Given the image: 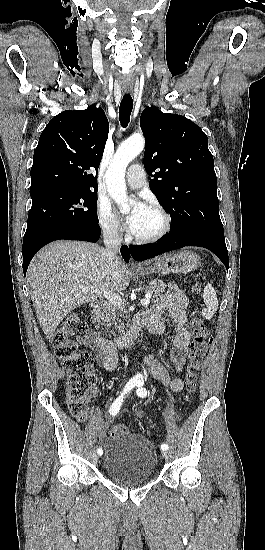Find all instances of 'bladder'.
<instances>
[{
  "label": "bladder",
  "instance_id": "31cf9c89",
  "mask_svg": "<svg viewBox=\"0 0 265 550\" xmlns=\"http://www.w3.org/2000/svg\"><path fill=\"white\" fill-rule=\"evenodd\" d=\"M102 457L105 474L113 481L128 485L148 481L157 465L155 448L139 434L110 438Z\"/></svg>",
  "mask_w": 265,
  "mask_h": 550
}]
</instances>
